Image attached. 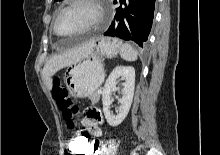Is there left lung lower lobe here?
I'll list each match as a JSON object with an SVG mask.
<instances>
[{
    "instance_id": "obj_1",
    "label": "left lung lower lobe",
    "mask_w": 220,
    "mask_h": 155,
    "mask_svg": "<svg viewBox=\"0 0 220 155\" xmlns=\"http://www.w3.org/2000/svg\"><path fill=\"white\" fill-rule=\"evenodd\" d=\"M154 5L155 0H120L114 21L104 35L133 41L143 48L151 30Z\"/></svg>"
}]
</instances>
